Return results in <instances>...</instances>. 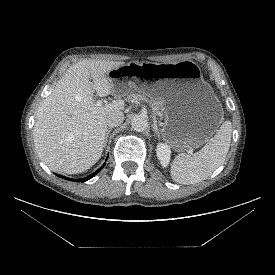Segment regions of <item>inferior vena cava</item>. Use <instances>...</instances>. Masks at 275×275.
Returning <instances> with one entry per match:
<instances>
[{
    "mask_svg": "<svg viewBox=\"0 0 275 275\" xmlns=\"http://www.w3.org/2000/svg\"><path fill=\"white\" fill-rule=\"evenodd\" d=\"M124 120V114L120 111L110 113L106 117V125L109 127H116L120 125Z\"/></svg>",
    "mask_w": 275,
    "mask_h": 275,
    "instance_id": "602c4592",
    "label": "inferior vena cava"
}]
</instances>
